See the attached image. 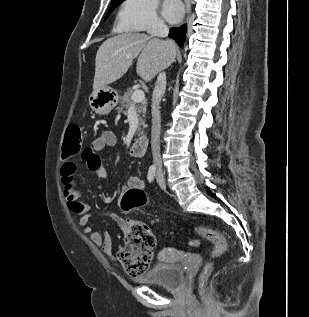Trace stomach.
<instances>
[{
	"mask_svg": "<svg viewBox=\"0 0 309 317\" xmlns=\"http://www.w3.org/2000/svg\"><path fill=\"white\" fill-rule=\"evenodd\" d=\"M119 102V96L116 90L109 86H103L94 90L89 97L91 109L100 115L108 114Z\"/></svg>",
	"mask_w": 309,
	"mask_h": 317,
	"instance_id": "0dacf381",
	"label": "stomach"
}]
</instances>
